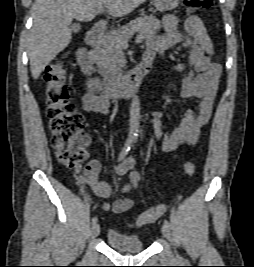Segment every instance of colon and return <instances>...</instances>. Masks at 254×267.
Returning a JSON list of instances; mask_svg holds the SVG:
<instances>
[{
    "instance_id": "colon-1",
    "label": "colon",
    "mask_w": 254,
    "mask_h": 267,
    "mask_svg": "<svg viewBox=\"0 0 254 267\" xmlns=\"http://www.w3.org/2000/svg\"><path fill=\"white\" fill-rule=\"evenodd\" d=\"M212 2V0H184L183 5L187 12H195L210 8ZM66 78L67 70L62 58L56 59L46 67L44 81L47 115L52 133V146L58 161L67 167L77 169L88 159L90 150L88 140L83 135L84 118L70 100ZM183 171L186 175H193L194 164L185 162ZM164 212V205L154 206L141 213L135 219L134 225L140 227L151 223Z\"/></svg>"
}]
</instances>
